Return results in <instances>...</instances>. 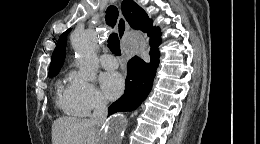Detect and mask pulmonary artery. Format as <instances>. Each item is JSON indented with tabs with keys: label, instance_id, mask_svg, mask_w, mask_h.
Returning <instances> with one entry per match:
<instances>
[{
	"label": "pulmonary artery",
	"instance_id": "1",
	"mask_svg": "<svg viewBox=\"0 0 260 144\" xmlns=\"http://www.w3.org/2000/svg\"><path fill=\"white\" fill-rule=\"evenodd\" d=\"M101 65L108 70L116 69L118 67L117 59L111 54H104L100 57Z\"/></svg>",
	"mask_w": 260,
	"mask_h": 144
}]
</instances>
